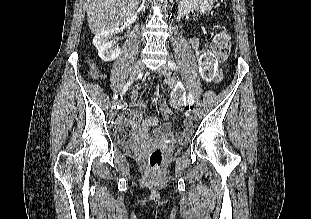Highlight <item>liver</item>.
I'll use <instances>...</instances> for the list:
<instances>
[{
  "label": "liver",
  "instance_id": "6515ba94",
  "mask_svg": "<svg viewBox=\"0 0 311 219\" xmlns=\"http://www.w3.org/2000/svg\"><path fill=\"white\" fill-rule=\"evenodd\" d=\"M139 0H85L88 24L93 34L118 28L130 19Z\"/></svg>",
  "mask_w": 311,
  "mask_h": 219
}]
</instances>
